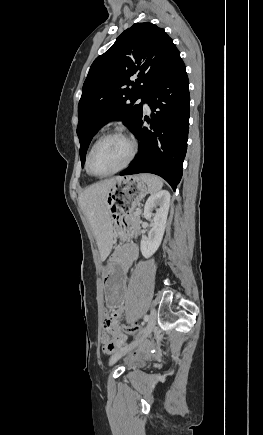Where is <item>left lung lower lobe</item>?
<instances>
[{
	"label": "left lung lower lobe",
	"instance_id": "1",
	"mask_svg": "<svg viewBox=\"0 0 263 435\" xmlns=\"http://www.w3.org/2000/svg\"><path fill=\"white\" fill-rule=\"evenodd\" d=\"M153 113L143 126L142 116L133 133L140 149L129 169L120 175L153 173L164 178L175 191L183 171L187 150L190 96L185 64L179 60L174 69L147 96ZM143 113V112H142Z\"/></svg>",
	"mask_w": 263,
	"mask_h": 435
}]
</instances>
